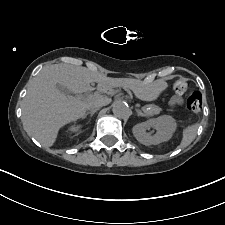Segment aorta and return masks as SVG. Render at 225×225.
<instances>
[{"instance_id":"1","label":"aorta","mask_w":225,"mask_h":225,"mask_svg":"<svg viewBox=\"0 0 225 225\" xmlns=\"http://www.w3.org/2000/svg\"><path fill=\"white\" fill-rule=\"evenodd\" d=\"M113 114L120 119H126L130 116V109L128 105L123 101H115L112 104Z\"/></svg>"}]
</instances>
